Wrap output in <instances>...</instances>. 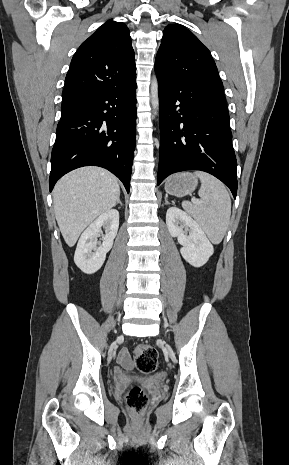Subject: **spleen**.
I'll return each instance as SVG.
<instances>
[{
    "instance_id": "spleen-1",
    "label": "spleen",
    "mask_w": 289,
    "mask_h": 465,
    "mask_svg": "<svg viewBox=\"0 0 289 465\" xmlns=\"http://www.w3.org/2000/svg\"><path fill=\"white\" fill-rule=\"evenodd\" d=\"M201 181L198 203L184 201L182 207L196 220L213 244H219L228 229L231 199L222 182L212 175L196 171Z\"/></svg>"
}]
</instances>
